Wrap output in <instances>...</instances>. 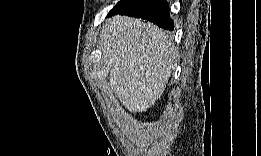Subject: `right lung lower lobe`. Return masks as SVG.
I'll list each match as a JSON object with an SVG mask.
<instances>
[{
	"label": "right lung lower lobe",
	"mask_w": 261,
	"mask_h": 156,
	"mask_svg": "<svg viewBox=\"0 0 261 156\" xmlns=\"http://www.w3.org/2000/svg\"><path fill=\"white\" fill-rule=\"evenodd\" d=\"M119 14L148 20L166 30L174 28L169 16V5L165 0H133Z\"/></svg>",
	"instance_id": "1"
}]
</instances>
